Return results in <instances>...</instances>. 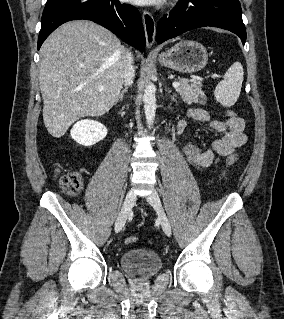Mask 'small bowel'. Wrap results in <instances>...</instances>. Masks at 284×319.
<instances>
[{
    "mask_svg": "<svg viewBox=\"0 0 284 319\" xmlns=\"http://www.w3.org/2000/svg\"><path fill=\"white\" fill-rule=\"evenodd\" d=\"M186 117L197 122L207 124L220 137L214 140L210 149H204L192 141H187L182 152L185 160L193 168L203 170L210 167L216 155L230 156L234 151L247 142L244 132L245 121L240 117L228 119L212 118L210 114L202 108H192L186 113ZM187 126L185 118L180 119L176 124V132L182 133Z\"/></svg>",
    "mask_w": 284,
    "mask_h": 319,
    "instance_id": "1",
    "label": "small bowel"
}]
</instances>
